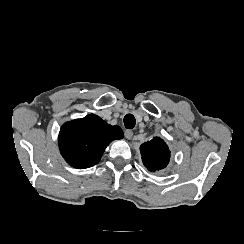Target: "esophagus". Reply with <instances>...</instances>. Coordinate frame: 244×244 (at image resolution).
Here are the masks:
<instances>
[{
    "mask_svg": "<svg viewBox=\"0 0 244 244\" xmlns=\"http://www.w3.org/2000/svg\"><path fill=\"white\" fill-rule=\"evenodd\" d=\"M124 134L128 140H131L133 137V132L131 130H125Z\"/></svg>",
    "mask_w": 244,
    "mask_h": 244,
    "instance_id": "esophagus-1",
    "label": "esophagus"
}]
</instances>
